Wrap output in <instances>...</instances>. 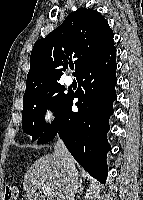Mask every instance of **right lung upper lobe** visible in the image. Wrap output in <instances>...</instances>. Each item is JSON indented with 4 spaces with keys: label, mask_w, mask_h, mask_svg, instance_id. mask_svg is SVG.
Here are the masks:
<instances>
[{
    "label": "right lung upper lobe",
    "mask_w": 143,
    "mask_h": 200,
    "mask_svg": "<svg viewBox=\"0 0 143 200\" xmlns=\"http://www.w3.org/2000/svg\"><path fill=\"white\" fill-rule=\"evenodd\" d=\"M113 37L99 12L80 8L70 13L58 28L34 44L25 94L58 83L72 59L77 76L84 66L114 48Z\"/></svg>",
    "instance_id": "1"
}]
</instances>
